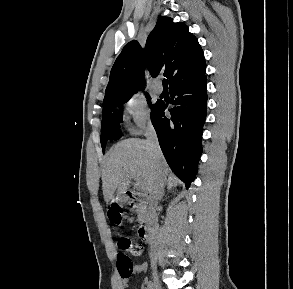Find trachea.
Masks as SVG:
<instances>
[{"mask_svg": "<svg viewBox=\"0 0 293 289\" xmlns=\"http://www.w3.org/2000/svg\"><path fill=\"white\" fill-rule=\"evenodd\" d=\"M163 86H164V87H167V86H168V80H167V79H164V80H163Z\"/></svg>", "mask_w": 293, "mask_h": 289, "instance_id": "obj_1", "label": "trachea"}]
</instances>
